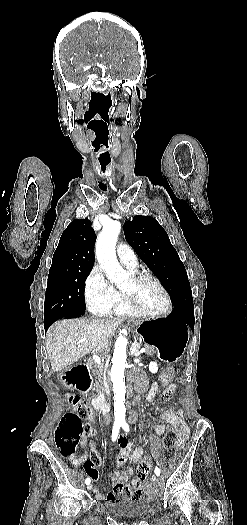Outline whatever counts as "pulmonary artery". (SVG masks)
I'll list each match as a JSON object with an SVG mask.
<instances>
[{"label": "pulmonary artery", "instance_id": "1", "mask_svg": "<svg viewBox=\"0 0 247 525\" xmlns=\"http://www.w3.org/2000/svg\"><path fill=\"white\" fill-rule=\"evenodd\" d=\"M116 252L119 259L124 263H132L136 260L133 249L126 242H118L116 245Z\"/></svg>", "mask_w": 247, "mask_h": 525}]
</instances>
